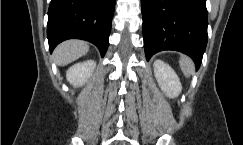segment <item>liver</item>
I'll return each mask as SVG.
<instances>
[{"label":"liver","instance_id":"obj_1","mask_svg":"<svg viewBox=\"0 0 243 145\" xmlns=\"http://www.w3.org/2000/svg\"><path fill=\"white\" fill-rule=\"evenodd\" d=\"M89 46L80 40H68L56 47L54 58L57 65L65 66L87 54Z\"/></svg>","mask_w":243,"mask_h":145}]
</instances>
